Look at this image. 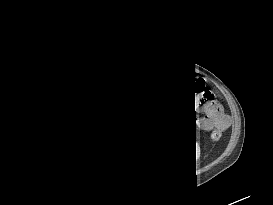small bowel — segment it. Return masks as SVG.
<instances>
[{"instance_id":"1","label":"small bowel","mask_w":273,"mask_h":205,"mask_svg":"<svg viewBox=\"0 0 273 205\" xmlns=\"http://www.w3.org/2000/svg\"><path fill=\"white\" fill-rule=\"evenodd\" d=\"M200 109L209 117H214L220 120L224 118L222 110L217 103H206Z\"/></svg>"}]
</instances>
